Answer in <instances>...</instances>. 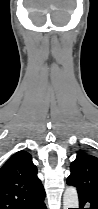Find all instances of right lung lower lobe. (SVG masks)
<instances>
[{
	"mask_svg": "<svg viewBox=\"0 0 98 209\" xmlns=\"http://www.w3.org/2000/svg\"><path fill=\"white\" fill-rule=\"evenodd\" d=\"M45 198V191L40 193L36 198L30 202L24 204L19 209H47L45 203L43 202Z\"/></svg>",
	"mask_w": 98,
	"mask_h": 209,
	"instance_id": "right-lung-lower-lobe-1",
	"label": "right lung lower lobe"
}]
</instances>
